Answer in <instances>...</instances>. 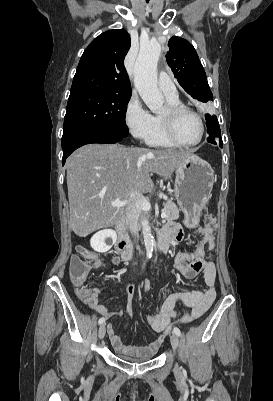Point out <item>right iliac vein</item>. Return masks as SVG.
<instances>
[{
    "label": "right iliac vein",
    "mask_w": 273,
    "mask_h": 401,
    "mask_svg": "<svg viewBox=\"0 0 273 401\" xmlns=\"http://www.w3.org/2000/svg\"><path fill=\"white\" fill-rule=\"evenodd\" d=\"M105 333H106V326H105V324H102V325L99 327V331H98V336H99V338H100V339H103L104 336H105Z\"/></svg>",
    "instance_id": "obj_1"
}]
</instances>
